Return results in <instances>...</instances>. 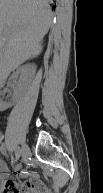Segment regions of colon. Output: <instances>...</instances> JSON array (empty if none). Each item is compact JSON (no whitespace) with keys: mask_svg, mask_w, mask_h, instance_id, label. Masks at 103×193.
I'll return each instance as SVG.
<instances>
[{"mask_svg":"<svg viewBox=\"0 0 103 193\" xmlns=\"http://www.w3.org/2000/svg\"><path fill=\"white\" fill-rule=\"evenodd\" d=\"M18 192H19V193H26L25 187L20 186V187L18 188Z\"/></svg>","mask_w":103,"mask_h":193,"instance_id":"obj_1","label":"colon"}]
</instances>
